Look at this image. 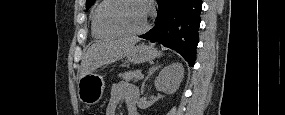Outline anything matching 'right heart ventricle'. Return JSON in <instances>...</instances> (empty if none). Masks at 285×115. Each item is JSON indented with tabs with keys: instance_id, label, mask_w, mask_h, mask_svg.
<instances>
[{
	"instance_id": "e07e8e85",
	"label": "right heart ventricle",
	"mask_w": 285,
	"mask_h": 115,
	"mask_svg": "<svg viewBox=\"0 0 285 115\" xmlns=\"http://www.w3.org/2000/svg\"><path fill=\"white\" fill-rule=\"evenodd\" d=\"M103 1L99 2L96 6V8L94 9L92 16H91V33L92 36L96 39H113L118 37L119 35L106 31L103 28H101L97 22V11L99 6L101 5Z\"/></svg>"
}]
</instances>
